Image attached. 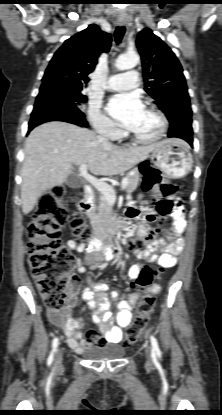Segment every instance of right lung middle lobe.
Here are the masks:
<instances>
[{
    "mask_svg": "<svg viewBox=\"0 0 222 415\" xmlns=\"http://www.w3.org/2000/svg\"><path fill=\"white\" fill-rule=\"evenodd\" d=\"M58 88L70 100H72L76 106L85 103L87 100V97L82 94V89L68 87V86H61V85H59Z\"/></svg>",
    "mask_w": 222,
    "mask_h": 415,
    "instance_id": "right-lung-middle-lobe-1",
    "label": "right lung middle lobe"
}]
</instances>
